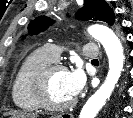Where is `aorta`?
I'll return each instance as SVG.
<instances>
[{
    "mask_svg": "<svg viewBox=\"0 0 133 118\" xmlns=\"http://www.w3.org/2000/svg\"><path fill=\"white\" fill-rule=\"evenodd\" d=\"M88 33L97 39L104 47L109 71L101 87L88 99L82 108L79 118H95L106 100L111 96L123 71V47L115 33L104 25H93L88 28Z\"/></svg>",
    "mask_w": 133,
    "mask_h": 118,
    "instance_id": "1",
    "label": "aorta"
}]
</instances>
